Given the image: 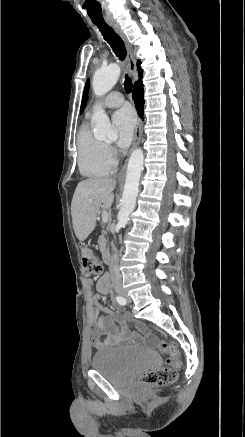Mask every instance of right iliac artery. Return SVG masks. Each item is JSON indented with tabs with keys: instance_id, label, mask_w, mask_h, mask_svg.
Listing matches in <instances>:
<instances>
[{
	"instance_id": "82829eb1",
	"label": "right iliac artery",
	"mask_w": 245,
	"mask_h": 437,
	"mask_svg": "<svg viewBox=\"0 0 245 437\" xmlns=\"http://www.w3.org/2000/svg\"><path fill=\"white\" fill-rule=\"evenodd\" d=\"M116 300L120 305L124 306L126 304V300L121 296H116Z\"/></svg>"
}]
</instances>
